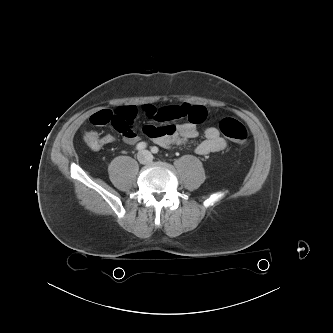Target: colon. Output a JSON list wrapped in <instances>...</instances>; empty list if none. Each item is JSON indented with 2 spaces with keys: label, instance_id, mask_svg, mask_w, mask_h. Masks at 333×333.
Masks as SVG:
<instances>
[{
  "label": "colon",
  "instance_id": "5ec220e1",
  "mask_svg": "<svg viewBox=\"0 0 333 333\" xmlns=\"http://www.w3.org/2000/svg\"><path fill=\"white\" fill-rule=\"evenodd\" d=\"M137 115L134 107H126L120 112L102 110L94 115V123L98 126L112 125L118 131H126L132 126ZM221 133L237 144H245L248 140L246 127L238 120L226 117L219 123ZM85 144L92 150H99L105 144V137L96 131H87L84 134Z\"/></svg>",
  "mask_w": 333,
  "mask_h": 333
}]
</instances>
